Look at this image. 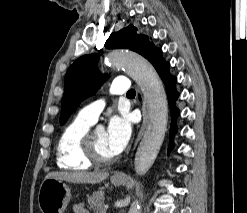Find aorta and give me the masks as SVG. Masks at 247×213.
<instances>
[{
	"label": "aorta",
	"instance_id": "aorta-1",
	"mask_svg": "<svg viewBox=\"0 0 247 213\" xmlns=\"http://www.w3.org/2000/svg\"><path fill=\"white\" fill-rule=\"evenodd\" d=\"M105 62L124 68L143 93L148 123L135 155L134 167L137 174L144 175L154 163L167 129L168 105L164 86L153 66L135 52L115 50L107 55ZM128 213H141L139 204L133 203Z\"/></svg>",
	"mask_w": 247,
	"mask_h": 213
}]
</instances>
